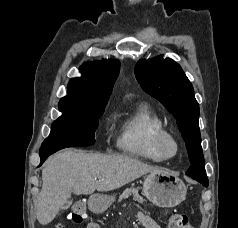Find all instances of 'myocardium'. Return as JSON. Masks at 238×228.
<instances>
[{"label": "myocardium", "instance_id": "1", "mask_svg": "<svg viewBox=\"0 0 238 228\" xmlns=\"http://www.w3.org/2000/svg\"><path fill=\"white\" fill-rule=\"evenodd\" d=\"M154 147L165 160L175 158L180 152L178 140L165 128L156 134Z\"/></svg>", "mask_w": 238, "mask_h": 228}]
</instances>
